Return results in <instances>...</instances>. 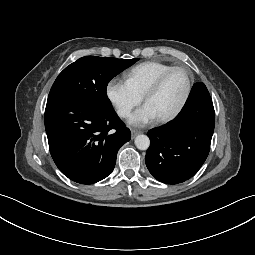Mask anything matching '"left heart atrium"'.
<instances>
[{
    "mask_svg": "<svg viewBox=\"0 0 255 255\" xmlns=\"http://www.w3.org/2000/svg\"><path fill=\"white\" fill-rule=\"evenodd\" d=\"M157 118L155 111L146 103L131 116L130 123L133 125H145Z\"/></svg>",
    "mask_w": 255,
    "mask_h": 255,
    "instance_id": "39dd6f15",
    "label": "left heart atrium"
}]
</instances>
